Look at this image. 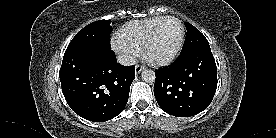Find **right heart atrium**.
Returning a JSON list of instances; mask_svg holds the SVG:
<instances>
[{
	"label": "right heart atrium",
	"instance_id": "d8ad5b80",
	"mask_svg": "<svg viewBox=\"0 0 276 138\" xmlns=\"http://www.w3.org/2000/svg\"><path fill=\"white\" fill-rule=\"evenodd\" d=\"M113 47L117 52L122 54L128 61L135 60L139 54V51L136 48L128 44L122 43L118 39H115L113 41Z\"/></svg>",
	"mask_w": 276,
	"mask_h": 138
}]
</instances>
